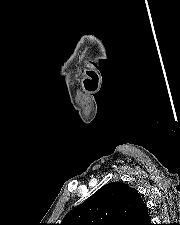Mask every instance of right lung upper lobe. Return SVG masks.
I'll return each instance as SVG.
<instances>
[{
  "label": "right lung upper lobe",
  "mask_w": 180,
  "mask_h": 225,
  "mask_svg": "<svg viewBox=\"0 0 180 225\" xmlns=\"http://www.w3.org/2000/svg\"><path fill=\"white\" fill-rule=\"evenodd\" d=\"M147 208L134 188L113 182L70 211L61 225H148Z\"/></svg>",
  "instance_id": "1"
}]
</instances>
